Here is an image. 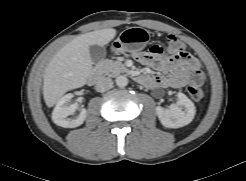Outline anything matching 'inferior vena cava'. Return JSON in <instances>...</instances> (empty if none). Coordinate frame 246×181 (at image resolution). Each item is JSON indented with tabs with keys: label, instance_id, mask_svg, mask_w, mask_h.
Here are the masks:
<instances>
[{
	"label": "inferior vena cava",
	"instance_id": "inferior-vena-cava-1",
	"mask_svg": "<svg viewBox=\"0 0 246 181\" xmlns=\"http://www.w3.org/2000/svg\"><path fill=\"white\" fill-rule=\"evenodd\" d=\"M113 87V81L109 77H101L97 80L95 89L98 92H105Z\"/></svg>",
	"mask_w": 246,
	"mask_h": 181
}]
</instances>
